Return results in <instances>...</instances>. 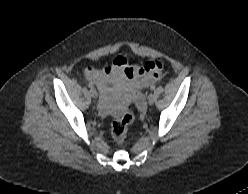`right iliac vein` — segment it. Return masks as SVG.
I'll list each match as a JSON object with an SVG mask.
<instances>
[{"mask_svg":"<svg viewBox=\"0 0 248 194\" xmlns=\"http://www.w3.org/2000/svg\"><path fill=\"white\" fill-rule=\"evenodd\" d=\"M90 95H91L92 98H96L97 97V91H96V89L91 88Z\"/></svg>","mask_w":248,"mask_h":194,"instance_id":"right-iliac-vein-1","label":"right iliac vein"}]
</instances>
